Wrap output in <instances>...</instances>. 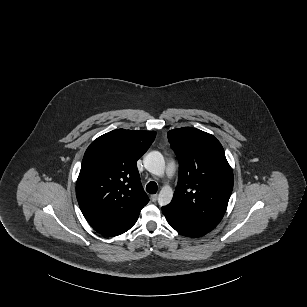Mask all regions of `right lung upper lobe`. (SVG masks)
Here are the masks:
<instances>
[{
  "instance_id": "right-lung-upper-lobe-1",
  "label": "right lung upper lobe",
  "mask_w": 307,
  "mask_h": 307,
  "mask_svg": "<svg viewBox=\"0 0 307 307\" xmlns=\"http://www.w3.org/2000/svg\"><path fill=\"white\" fill-rule=\"evenodd\" d=\"M155 136L154 131L117 129L98 137L87 148L76 195L84 217L98 233L113 235L148 203L136 162Z\"/></svg>"
}]
</instances>
